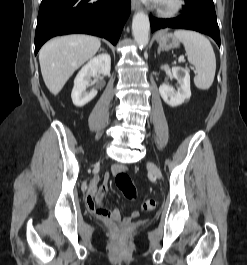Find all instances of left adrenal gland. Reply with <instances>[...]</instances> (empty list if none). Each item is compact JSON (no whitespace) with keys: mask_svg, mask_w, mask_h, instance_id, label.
I'll list each match as a JSON object with an SVG mask.
<instances>
[{"mask_svg":"<svg viewBox=\"0 0 247 265\" xmlns=\"http://www.w3.org/2000/svg\"><path fill=\"white\" fill-rule=\"evenodd\" d=\"M160 52H161V47L158 48V51H157L158 55L160 54Z\"/></svg>","mask_w":247,"mask_h":265,"instance_id":"1","label":"left adrenal gland"}]
</instances>
